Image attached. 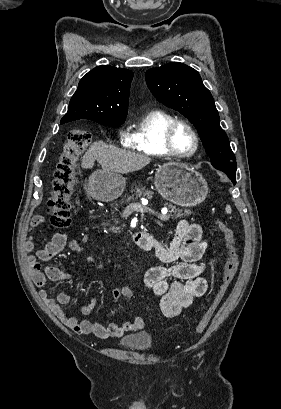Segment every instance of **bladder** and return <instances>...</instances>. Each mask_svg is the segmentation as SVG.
<instances>
[{
  "label": "bladder",
  "instance_id": "bladder-1",
  "mask_svg": "<svg viewBox=\"0 0 281 409\" xmlns=\"http://www.w3.org/2000/svg\"><path fill=\"white\" fill-rule=\"evenodd\" d=\"M117 346L130 352L147 353L154 349V336L150 331H138L130 335L120 336Z\"/></svg>",
  "mask_w": 281,
  "mask_h": 409
}]
</instances>
